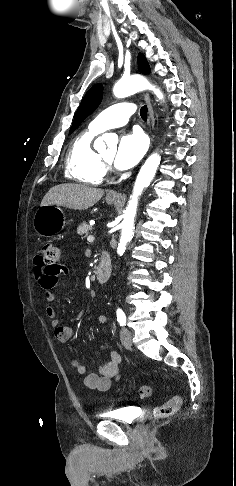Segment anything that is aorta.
<instances>
[{
	"label": "aorta",
	"instance_id": "obj_1",
	"mask_svg": "<svg viewBox=\"0 0 236 486\" xmlns=\"http://www.w3.org/2000/svg\"><path fill=\"white\" fill-rule=\"evenodd\" d=\"M146 89L153 91L159 100L163 99V93L141 76H130L128 78H122L114 85L113 93L117 98H124ZM111 138L112 137L110 134H103L95 141V148L101 149L105 147V143L109 142ZM160 161V155L158 153H153L147 158L137 175L133 188V193L130 196V200L124 211V219L121 223L122 231L117 248V253L120 256L124 254L126 250V245L133 236L134 219L138 206V198L142 194L144 188H147L154 178Z\"/></svg>",
	"mask_w": 236,
	"mask_h": 486
}]
</instances>
